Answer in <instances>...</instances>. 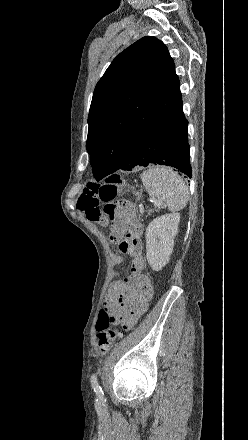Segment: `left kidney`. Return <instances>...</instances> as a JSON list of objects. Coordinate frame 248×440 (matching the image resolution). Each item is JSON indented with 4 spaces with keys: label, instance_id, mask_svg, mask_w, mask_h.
Wrapping results in <instances>:
<instances>
[{
    "label": "left kidney",
    "instance_id": "obj_1",
    "mask_svg": "<svg viewBox=\"0 0 248 440\" xmlns=\"http://www.w3.org/2000/svg\"><path fill=\"white\" fill-rule=\"evenodd\" d=\"M179 222V213H169L155 218L148 225L145 233L146 257L154 271H160L169 262Z\"/></svg>",
    "mask_w": 248,
    "mask_h": 440
}]
</instances>
